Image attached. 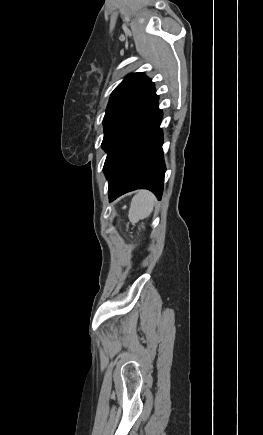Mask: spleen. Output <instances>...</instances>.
<instances>
[{
  "mask_svg": "<svg viewBox=\"0 0 263 435\" xmlns=\"http://www.w3.org/2000/svg\"><path fill=\"white\" fill-rule=\"evenodd\" d=\"M155 197L149 191H140L136 194L131 202L129 210V219L136 222L148 217L154 208Z\"/></svg>",
  "mask_w": 263,
  "mask_h": 435,
  "instance_id": "spleen-1",
  "label": "spleen"
}]
</instances>
